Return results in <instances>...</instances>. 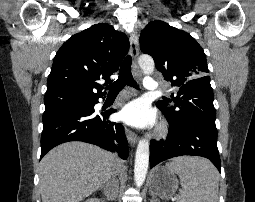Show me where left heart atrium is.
Listing matches in <instances>:
<instances>
[{"instance_id": "39dd6f15", "label": "left heart atrium", "mask_w": 255, "mask_h": 202, "mask_svg": "<svg viewBox=\"0 0 255 202\" xmlns=\"http://www.w3.org/2000/svg\"><path fill=\"white\" fill-rule=\"evenodd\" d=\"M120 118L137 128L151 127L155 123V114L143 100H134L123 107Z\"/></svg>"}]
</instances>
